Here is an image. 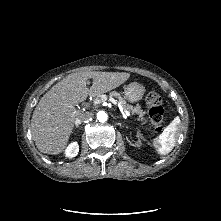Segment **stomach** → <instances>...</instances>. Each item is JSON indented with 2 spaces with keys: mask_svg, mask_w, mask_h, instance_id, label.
<instances>
[{
  "mask_svg": "<svg viewBox=\"0 0 221 221\" xmlns=\"http://www.w3.org/2000/svg\"><path fill=\"white\" fill-rule=\"evenodd\" d=\"M144 92L145 88L137 82H132L127 86H125L124 88L125 98L130 103H135L140 101L144 95Z\"/></svg>",
  "mask_w": 221,
  "mask_h": 221,
  "instance_id": "0dacf381",
  "label": "stomach"
}]
</instances>
